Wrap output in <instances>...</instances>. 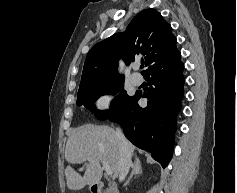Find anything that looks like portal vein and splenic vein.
Masks as SVG:
<instances>
[{"instance_id": "portal-vein-and-splenic-vein-1", "label": "portal vein and splenic vein", "mask_w": 237, "mask_h": 193, "mask_svg": "<svg viewBox=\"0 0 237 193\" xmlns=\"http://www.w3.org/2000/svg\"><path fill=\"white\" fill-rule=\"evenodd\" d=\"M102 165H103V168L106 171V174L111 176L113 174V171H112L111 167L108 165V163L103 161Z\"/></svg>"}]
</instances>
